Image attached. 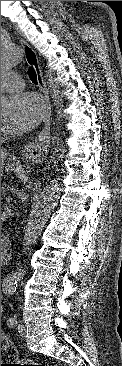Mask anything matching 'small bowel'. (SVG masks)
<instances>
[{
    "mask_svg": "<svg viewBox=\"0 0 122 366\" xmlns=\"http://www.w3.org/2000/svg\"><path fill=\"white\" fill-rule=\"evenodd\" d=\"M12 280H14V279H13V276H9V277H7V278H6V284H9L10 282H12ZM2 310H3V308H2V305H1V314H2Z\"/></svg>",
    "mask_w": 122,
    "mask_h": 366,
    "instance_id": "1",
    "label": "small bowel"
}]
</instances>
